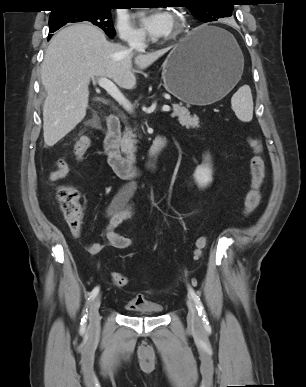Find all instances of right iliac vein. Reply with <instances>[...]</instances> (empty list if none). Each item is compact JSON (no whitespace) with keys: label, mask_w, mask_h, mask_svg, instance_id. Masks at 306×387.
<instances>
[{"label":"right iliac vein","mask_w":306,"mask_h":387,"mask_svg":"<svg viewBox=\"0 0 306 387\" xmlns=\"http://www.w3.org/2000/svg\"><path fill=\"white\" fill-rule=\"evenodd\" d=\"M100 305H101V296L98 295L96 298L93 299L89 308L88 330H89V333L94 336L99 333V329H100V314H99Z\"/></svg>","instance_id":"right-iliac-vein-1"}]
</instances>
